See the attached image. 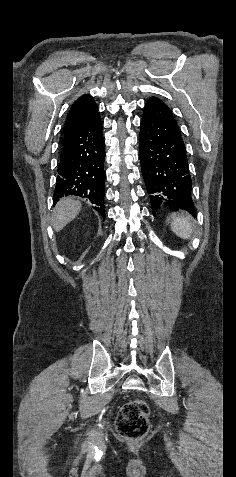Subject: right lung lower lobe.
<instances>
[{
	"label": "right lung lower lobe",
	"mask_w": 236,
	"mask_h": 477,
	"mask_svg": "<svg viewBox=\"0 0 236 477\" xmlns=\"http://www.w3.org/2000/svg\"><path fill=\"white\" fill-rule=\"evenodd\" d=\"M104 139L99 113L79 131L64 138L54 190L59 198L76 195L94 204L103 218L104 209Z\"/></svg>",
	"instance_id": "1"
}]
</instances>
